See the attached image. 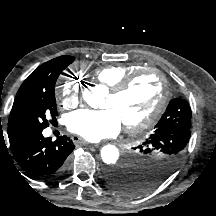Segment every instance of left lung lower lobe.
Masks as SVG:
<instances>
[{"label": "left lung lower lobe", "mask_w": 216, "mask_h": 216, "mask_svg": "<svg viewBox=\"0 0 216 216\" xmlns=\"http://www.w3.org/2000/svg\"><path fill=\"white\" fill-rule=\"evenodd\" d=\"M132 171V166L128 165L113 168L106 173V180L120 194L135 196L132 184Z\"/></svg>", "instance_id": "obj_1"}]
</instances>
